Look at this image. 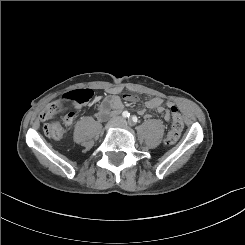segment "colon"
I'll use <instances>...</instances> for the list:
<instances>
[{
  "label": "colon",
  "instance_id": "colon-1",
  "mask_svg": "<svg viewBox=\"0 0 245 245\" xmlns=\"http://www.w3.org/2000/svg\"><path fill=\"white\" fill-rule=\"evenodd\" d=\"M92 97L93 93L90 89H78L66 93L60 101L45 108L41 117L45 121L44 131L46 135L55 140L61 139L64 125L68 124L74 116L73 109L88 103ZM170 113L172 124L164 140V144L167 146L175 144L183 130V121L178 109L172 105L170 106Z\"/></svg>",
  "mask_w": 245,
  "mask_h": 245
}]
</instances>
